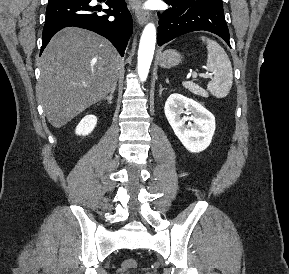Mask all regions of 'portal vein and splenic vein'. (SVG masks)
<instances>
[{
  "instance_id": "obj_1",
  "label": "portal vein and splenic vein",
  "mask_w": 289,
  "mask_h": 274,
  "mask_svg": "<svg viewBox=\"0 0 289 274\" xmlns=\"http://www.w3.org/2000/svg\"><path fill=\"white\" fill-rule=\"evenodd\" d=\"M198 76H199V77H202V78H210L212 75H211V74H208V73H200V74L193 73V74H192V78H193V79H196Z\"/></svg>"
}]
</instances>
